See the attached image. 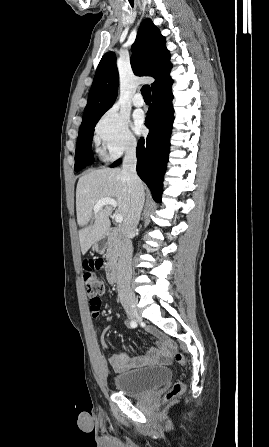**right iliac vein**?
Here are the masks:
<instances>
[{"mask_svg": "<svg viewBox=\"0 0 269 447\" xmlns=\"http://www.w3.org/2000/svg\"><path fill=\"white\" fill-rule=\"evenodd\" d=\"M124 309L132 320L141 321L142 318L138 314V309L136 307V299L132 297L130 300H125L122 302Z\"/></svg>", "mask_w": 269, "mask_h": 447, "instance_id": "63e3f726", "label": "right iliac vein"}]
</instances>
